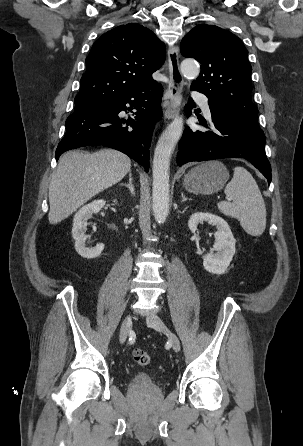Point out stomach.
Here are the masks:
<instances>
[{
    "label": "stomach",
    "instance_id": "1",
    "mask_svg": "<svg viewBox=\"0 0 303 446\" xmlns=\"http://www.w3.org/2000/svg\"><path fill=\"white\" fill-rule=\"evenodd\" d=\"M228 179L229 172L221 162L209 161L191 169L183 185L191 193L212 194L221 190Z\"/></svg>",
    "mask_w": 303,
    "mask_h": 446
}]
</instances>
